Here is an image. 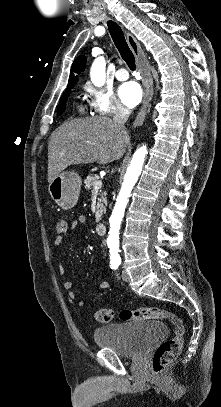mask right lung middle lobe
<instances>
[{"instance_id":"1","label":"right lung middle lobe","mask_w":221,"mask_h":407,"mask_svg":"<svg viewBox=\"0 0 221 407\" xmlns=\"http://www.w3.org/2000/svg\"><path fill=\"white\" fill-rule=\"evenodd\" d=\"M71 90V88H68L66 90V92L64 93V95L61 97L59 105H58V109H57V115L60 116L63 111L65 110L66 107V101L69 95V91Z\"/></svg>"}]
</instances>
